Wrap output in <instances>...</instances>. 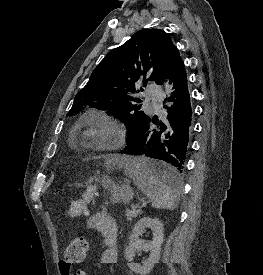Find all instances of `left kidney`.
I'll list each match as a JSON object with an SVG mask.
<instances>
[{
  "mask_svg": "<svg viewBox=\"0 0 263 275\" xmlns=\"http://www.w3.org/2000/svg\"><path fill=\"white\" fill-rule=\"evenodd\" d=\"M150 228L153 232L152 241L145 243L140 240V236L145 229ZM163 244V224L157 218H141L134 226L132 234L129 237V245L125 250V258L128 261V267L132 272L139 275H147L153 269L154 264L159 262L161 246ZM150 251L149 258L143 265L133 263L136 252Z\"/></svg>",
  "mask_w": 263,
  "mask_h": 275,
  "instance_id": "obj_1",
  "label": "left kidney"
}]
</instances>
